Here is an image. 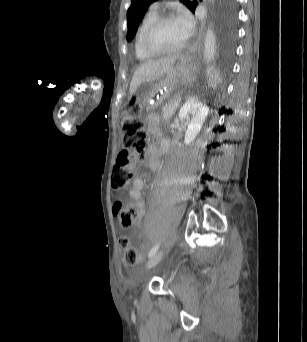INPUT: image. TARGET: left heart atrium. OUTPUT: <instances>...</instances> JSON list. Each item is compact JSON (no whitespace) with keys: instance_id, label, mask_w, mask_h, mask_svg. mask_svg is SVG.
Wrapping results in <instances>:
<instances>
[{"instance_id":"left-heart-atrium-1","label":"left heart atrium","mask_w":307,"mask_h":342,"mask_svg":"<svg viewBox=\"0 0 307 342\" xmlns=\"http://www.w3.org/2000/svg\"><path fill=\"white\" fill-rule=\"evenodd\" d=\"M179 26L186 40L193 35L194 25L189 17H182L179 21Z\"/></svg>"}]
</instances>
